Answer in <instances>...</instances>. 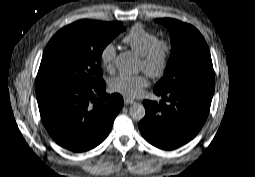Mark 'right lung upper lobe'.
<instances>
[{"label":"right lung upper lobe","mask_w":255,"mask_h":177,"mask_svg":"<svg viewBox=\"0 0 255 177\" xmlns=\"http://www.w3.org/2000/svg\"><path fill=\"white\" fill-rule=\"evenodd\" d=\"M110 23H112V24H116L117 22H110Z\"/></svg>","instance_id":"1"}]
</instances>
